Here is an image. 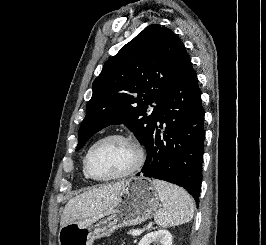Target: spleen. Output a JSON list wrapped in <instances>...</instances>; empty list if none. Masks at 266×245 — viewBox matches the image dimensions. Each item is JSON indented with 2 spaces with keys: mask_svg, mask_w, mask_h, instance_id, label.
Returning <instances> with one entry per match:
<instances>
[{
  "mask_svg": "<svg viewBox=\"0 0 266 245\" xmlns=\"http://www.w3.org/2000/svg\"><path fill=\"white\" fill-rule=\"evenodd\" d=\"M158 193L163 209L154 215V221L159 227H177L192 221L195 203L187 191L177 185L165 181H152Z\"/></svg>",
  "mask_w": 266,
  "mask_h": 245,
  "instance_id": "1",
  "label": "spleen"
}]
</instances>
